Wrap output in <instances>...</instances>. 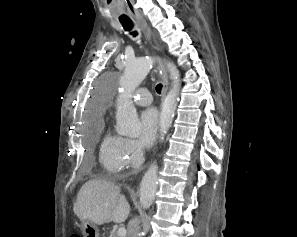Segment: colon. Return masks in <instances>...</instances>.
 <instances>
[{
    "label": "colon",
    "instance_id": "5ec220e1",
    "mask_svg": "<svg viewBox=\"0 0 297 237\" xmlns=\"http://www.w3.org/2000/svg\"><path fill=\"white\" fill-rule=\"evenodd\" d=\"M71 237H79L78 235H73V236H71Z\"/></svg>",
    "mask_w": 297,
    "mask_h": 237
}]
</instances>
